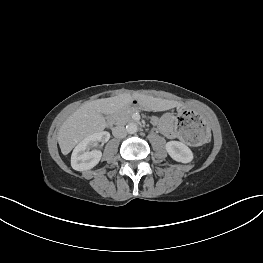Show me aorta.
Here are the masks:
<instances>
[{
	"label": "aorta",
	"mask_w": 263,
	"mask_h": 263,
	"mask_svg": "<svg viewBox=\"0 0 263 263\" xmlns=\"http://www.w3.org/2000/svg\"><path fill=\"white\" fill-rule=\"evenodd\" d=\"M126 131L129 134H135L138 131V126L136 123L131 122L126 126Z\"/></svg>",
	"instance_id": "aorta-1"
}]
</instances>
